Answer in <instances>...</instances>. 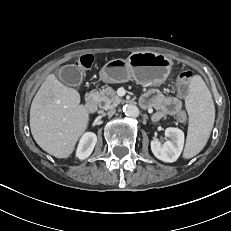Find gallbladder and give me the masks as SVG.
Here are the masks:
<instances>
[{"mask_svg":"<svg viewBox=\"0 0 231 231\" xmlns=\"http://www.w3.org/2000/svg\"><path fill=\"white\" fill-rule=\"evenodd\" d=\"M60 80L68 86H78L82 82V73L74 65H67L62 67L58 72Z\"/></svg>","mask_w":231,"mask_h":231,"instance_id":"obj_1","label":"gallbladder"}]
</instances>
